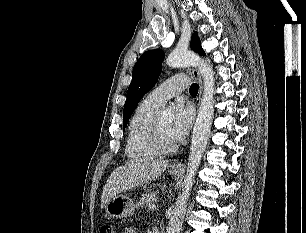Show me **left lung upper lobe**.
Here are the masks:
<instances>
[{"label":"left lung upper lobe","instance_id":"1","mask_svg":"<svg viewBox=\"0 0 306 233\" xmlns=\"http://www.w3.org/2000/svg\"><path fill=\"white\" fill-rule=\"evenodd\" d=\"M191 48L205 55L197 33L191 39ZM164 52L161 49L149 50L142 54L133 68L132 82L127 91V99L123 110V128L135 110L138 102L154 86L161 73Z\"/></svg>","mask_w":306,"mask_h":233}]
</instances>
